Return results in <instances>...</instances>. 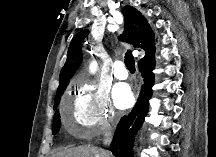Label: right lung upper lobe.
Instances as JSON below:
<instances>
[{
	"label": "right lung upper lobe",
	"mask_w": 216,
	"mask_h": 157,
	"mask_svg": "<svg viewBox=\"0 0 216 157\" xmlns=\"http://www.w3.org/2000/svg\"><path fill=\"white\" fill-rule=\"evenodd\" d=\"M123 16L125 18L124 32L119 39L143 48L146 54L139 63L148 61L155 54L154 33L150 25L144 16L132 6L127 5L123 8ZM87 34L88 30H84L71 40L67 60L60 72L56 96L66 89L70 78L80 66L82 61L81 43Z\"/></svg>",
	"instance_id": "cb5924a9"
}]
</instances>
